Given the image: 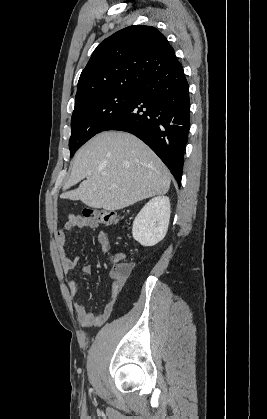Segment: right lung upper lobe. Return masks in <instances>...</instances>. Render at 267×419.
Wrapping results in <instances>:
<instances>
[{
	"instance_id": "cb5924a9",
	"label": "right lung upper lobe",
	"mask_w": 267,
	"mask_h": 419,
	"mask_svg": "<svg viewBox=\"0 0 267 419\" xmlns=\"http://www.w3.org/2000/svg\"><path fill=\"white\" fill-rule=\"evenodd\" d=\"M176 61L174 49L156 28L126 27L94 50L80 75L75 103L104 91L140 86Z\"/></svg>"
}]
</instances>
